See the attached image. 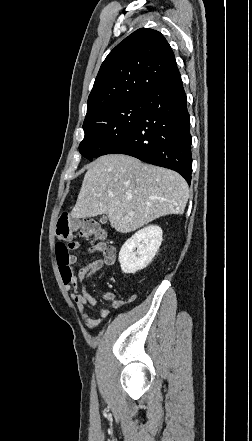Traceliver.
<instances>
[{
  "label": "liver",
  "instance_id": "obj_1",
  "mask_svg": "<svg viewBox=\"0 0 252 441\" xmlns=\"http://www.w3.org/2000/svg\"><path fill=\"white\" fill-rule=\"evenodd\" d=\"M189 188L177 172L123 155H104L84 176L73 218L107 214L116 231L129 233L165 215L183 214Z\"/></svg>",
  "mask_w": 252,
  "mask_h": 441
}]
</instances>
